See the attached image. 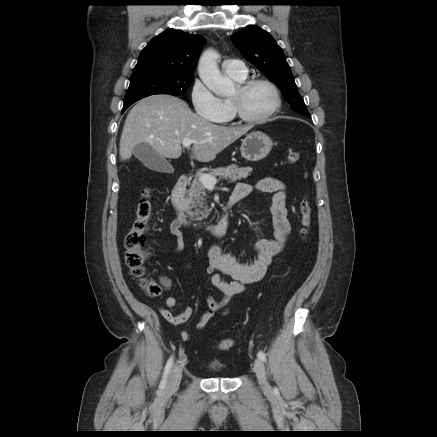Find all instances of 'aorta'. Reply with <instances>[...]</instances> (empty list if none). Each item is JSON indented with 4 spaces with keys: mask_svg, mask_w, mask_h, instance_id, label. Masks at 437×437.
Masks as SVG:
<instances>
[{
    "mask_svg": "<svg viewBox=\"0 0 437 437\" xmlns=\"http://www.w3.org/2000/svg\"><path fill=\"white\" fill-rule=\"evenodd\" d=\"M219 54L206 50L198 63V74L206 87L218 96H229L234 93L235 85L230 79L224 77L218 67Z\"/></svg>",
    "mask_w": 437,
    "mask_h": 437,
    "instance_id": "1",
    "label": "aorta"
}]
</instances>
